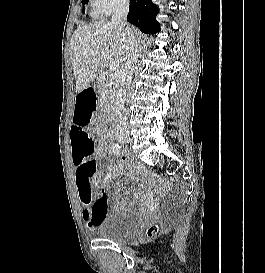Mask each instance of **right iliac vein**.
<instances>
[{"instance_id": "obj_1", "label": "right iliac vein", "mask_w": 265, "mask_h": 273, "mask_svg": "<svg viewBox=\"0 0 265 273\" xmlns=\"http://www.w3.org/2000/svg\"><path fill=\"white\" fill-rule=\"evenodd\" d=\"M118 140L122 141V142H131L132 141L131 138H127V137H124V136H119Z\"/></svg>"}]
</instances>
